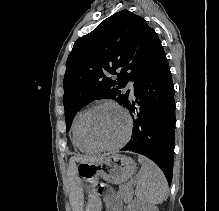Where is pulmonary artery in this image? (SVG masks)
Wrapping results in <instances>:
<instances>
[{
    "label": "pulmonary artery",
    "mask_w": 219,
    "mask_h": 211,
    "mask_svg": "<svg viewBox=\"0 0 219 211\" xmlns=\"http://www.w3.org/2000/svg\"><path fill=\"white\" fill-rule=\"evenodd\" d=\"M126 88L130 91V95L133 96V87H132V85L128 84Z\"/></svg>",
    "instance_id": "pulmonary-artery-1"
}]
</instances>
